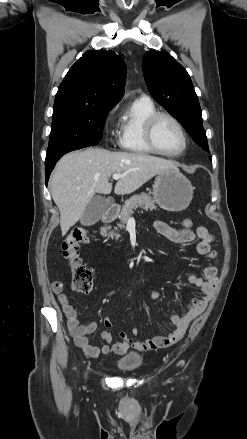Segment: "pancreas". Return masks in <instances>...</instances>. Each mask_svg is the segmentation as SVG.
I'll use <instances>...</instances> for the list:
<instances>
[{"instance_id": "obj_1", "label": "pancreas", "mask_w": 247, "mask_h": 439, "mask_svg": "<svg viewBox=\"0 0 247 439\" xmlns=\"http://www.w3.org/2000/svg\"><path fill=\"white\" fill-rule=\"evenodd\" d=\"M137 208L152 211L156 209L155 201L152 200L151 196L146 193L131 196L128 200L125 201V204L122 206V210L119 215L120 223L117 224L118 228L121 229L124 227V224L133 214V210ZM118 228L115 227L114 230L117 231ZM109 236L111 238L115 237L116 240H118L120 237V235L115 233L114 231L109 232Z\"/></svg>"}]
</instances>
